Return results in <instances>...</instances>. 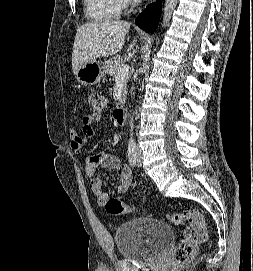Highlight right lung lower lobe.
I'll use <instances>...</instances> for the list:
<instances>
[{"label":"right lung lower lobe","instance_id":"obj_1","mask_svg":"<svg viewBox=\"0 0 253 271\" xmlns=\"http://www.w3.org/2000/svg\"><path fill=\"white\" fill-rule=\"evenodd\" d=\"M161 14V4L156 2L151 4L136 19V24L146 32L153 33L159 23Z\"/></svg>","mask_w":253,"mask_h":271}]
</instances>
